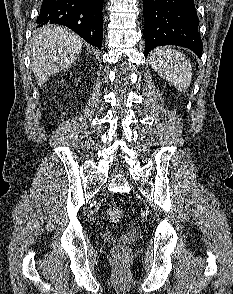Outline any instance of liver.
Returning a JSON list of instances; mask_svg holds the SVG:
<instances>
[{"label":"liver","instance_id":"obj_1","mask_svg":"<svg viewBox=\"0 0 233 294\" xmlns=\"http://www.w3.org/2000/svg\"><path fill=\"white\" fill-rule=\"evenodd\" d=\"M82 40L67 28L45 25L32 38L31 68L41 86L52 75L71 66L82 50Z\"/></svg>","mask_w":233,"mask_h":294}]
</instances>
